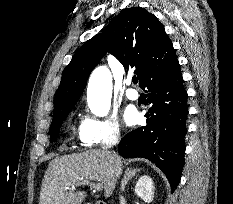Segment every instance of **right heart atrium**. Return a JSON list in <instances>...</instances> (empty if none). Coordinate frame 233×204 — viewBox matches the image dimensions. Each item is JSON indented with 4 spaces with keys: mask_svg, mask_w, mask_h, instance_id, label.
Returning <instances> with one entry per match:
<instances>
[{
    "mask_svg": "<svg viewBox=\"0 0 233 204\" xmlns=\"http://www.w3.org/2000/svg\"><path fill=\"white\" fill-rule=\"evenodd\" d=\"M120 137L121 127L114 115L103 118L86 115L78 131L80 144L87 148L115 143Z\"/></svg>",
    "mask_w": 233,
    "mask_h": 204,
    "instance_id": "d8ad5b80",
    "label": "right heart atrium"
}]
</instances>
